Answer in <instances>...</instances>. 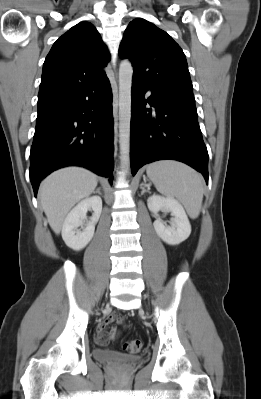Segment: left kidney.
<instances>
[{
  "label": "left kidney",
  "mask_w": 261,
  "mask_h": 399,
  "mask_svg": "<svg viewBox=\"0 0 261 399\" xmlns=\"http://www.w3.org/2000/svg\"><path fill=\"white\" fill-rule=\"evenodd\" d=\"M147 205L152 213L159 211L171 212L174 216L170 226L160 218L153 226L157 235L169 245H178L185 241L191 233V225L183 206L174 198L153 195L148 198Z\"/></svg>",
  "instance_id": "5707ae66"
}]
</instances>
